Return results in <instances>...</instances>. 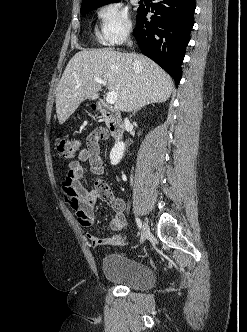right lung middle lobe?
<instances>
[{"mask_svg":"<svg viewBox=\"0 0 247 332\" xmlns=\"http://www.w3.org/2000/svg\"><path fill=\"white\" fill-rule=\"evenodd\" d=\"M119 1L120 0H109V1L102 2V3L81 7V13H82V15H86L89 11L94 10L98 7H101V6L109 4V3L119 2Z\"/></svg>","mask_w":247,"mask_h":332,"instance_id":"1","label":"right lung middle lobe"}]
</instances>
